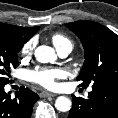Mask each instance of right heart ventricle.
<instances>
[{
    "mask_svg": "<svg viewBox=\"0 0 118 118\" xmlns=\"http://www.w3.org/2000/svg\"><path fill=\"white\" fill-rule=\"evenodd\" d=\"M51 40H52L53 44L56 46L57 50L66 48L68 46L72 47V43L69 40V38H67L63 34L55 33L52 35Z\"/></svg>",
    "mask_w": 118,
    "mask_h": 118,
    "instance_id": "right-heart-ventricle-1",
    "label": "right heart ventricle"
}]
</instances>
